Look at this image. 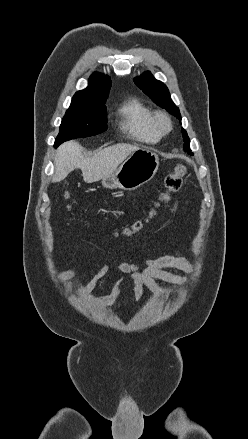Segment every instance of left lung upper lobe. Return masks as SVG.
<instances>
[{
  "instance_id": "left-lung-upper-lobe-1",
  "label": "left lung upper lobe",
  "mask_w": 248,
  "mask_h": 439,
  "mask_svg": "<svg viewBox=\"0 0 248 439\" xmlns=\"http://www.w3.org/2000/svg\"><path fill=\"white\" fill-rule=\"evenodd\" d=\"M134 82L147 96L153 100V102L166 109L178 119H181L179 108L171 100L169 90L164 83L156 80L150 72H145L141 76L136 77ZM182 135L184 141V150L188 151L189 154H192L189 147L190 140L184 129H182Z\"/></svg>"
}]
</instances>
